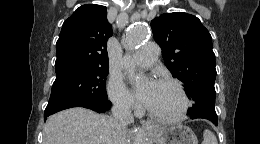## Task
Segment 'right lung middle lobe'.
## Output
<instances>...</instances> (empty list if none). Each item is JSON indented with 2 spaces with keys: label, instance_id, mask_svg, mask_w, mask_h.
I'll return each instance as SVG.
<instances>
[{
  "label": "right lung middle lobe",
  "instance_id": "right-lung-middle-lobe-1",
  "mask_svg": "<svg viewBox=\"0 0 260 144\" xmlns=\"http://www.w3.org/2000/svg\"><path fill=\"white\" fill-rule=\"evenodd\" d=\"M56 70L47 109L65 105H85L108 100V66L66 65Z\"/></svg>",
  "mask_w": 260,
  "mask_h": 144
}]
</instances>
